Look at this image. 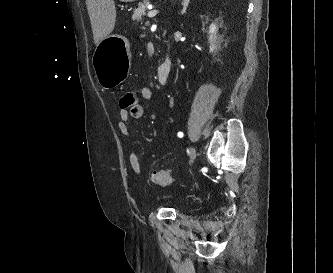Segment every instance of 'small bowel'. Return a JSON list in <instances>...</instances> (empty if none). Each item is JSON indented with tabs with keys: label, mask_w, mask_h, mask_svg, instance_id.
<instances>
[{
	"label": "small bowel",
	"mask_w": 333,
	"mask_h": 273,
	"mask_svg": "<svg viewBox=\"0 0 333 273\" xmlns=\"http://www.w3.org/2000/svg\"><path fill=\"white\" fill-rule=\"evenodd\" d=\"M141 97L143 100H151L153 97V91L150 87H143L141 89ZM144 114V107L142 104L138 103L136 101L135 104H133L132 109H120L119 110V117L117 121V129L119 133L125 137L129 135V129L127 126V122L133 118V119H140ZM128 163L130 168L133 170V172L137 175H141L142 168L139 161V158L136 153L130 152L128 155Z\"/></svg>",
	"instance_id": "c3829d8e"
}]
</instances>
